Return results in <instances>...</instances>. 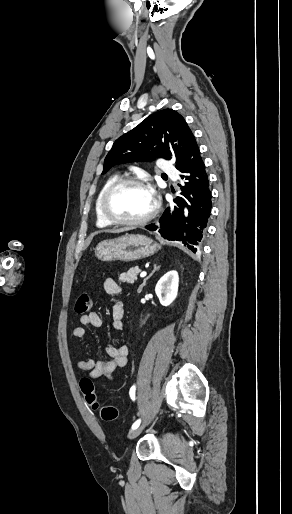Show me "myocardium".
I'll return each instance as SVG.
<instances>
[{
	"mask_svg": "<svg viewBox=\"0 0 292 514\" xmlns=\"http://www.w3.org/2000/svg\"><path fill=\"white\" fill-rule=\"evenodd\" d=\"M137 186L141 187L147 190L146 185L143 183L142 180L136 178V177H125V178H119L113 181L102 193L99 201V209L101 214L104 216V218L110 222L111 224L116 225H122V226H138L146 223L151 219V217L154 214V211L156 209V202L153 199L152 205L150 210L146 215H144L141 218L133 219V220H123L115 217L113 214H111L107 208V199L109 195L116 189L123 187V186Z\"/></svg>",
	"mask_w": 292,
	"mask_h": 514,
	"instance_id": "obj_1",
	"label": "myocardium"
}]
</instances>
